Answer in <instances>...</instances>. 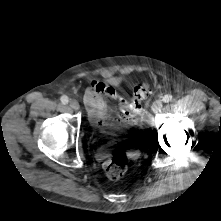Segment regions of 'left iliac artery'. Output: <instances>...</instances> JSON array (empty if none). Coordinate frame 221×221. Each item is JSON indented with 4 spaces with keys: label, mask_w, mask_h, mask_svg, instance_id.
Here are the masks:
<instances>
[{
    "label": "left iliac artery",
    "mask_w": 221,
    "mask_h": 221,
    "mask_svg": "<svg viewBox=\"0 0 221 221\" xmlns=\"http://www.w3.org/2000/svg\"><path fill=\"white\" fill-rule=\"evenodd\" d=\"M172 99H173V96H172V95H165L162 100H163V102L168 103V102H170Z\"/></svg>",
    "instance_id": "left-iliac-artery-1"
}]
</instances>
